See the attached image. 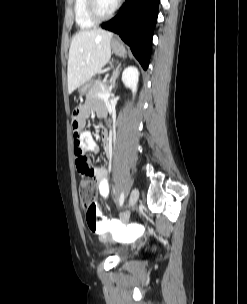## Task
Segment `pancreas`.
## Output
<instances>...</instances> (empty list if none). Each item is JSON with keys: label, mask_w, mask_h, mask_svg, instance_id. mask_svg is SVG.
<instances>
[{"label": "pancreas", "mask_w": 247, "mask_h": 304, "mask_svg": "<svg viewBox=\"0 0 247 304\" xmlns=\"http://www.w3.org/2000/svg\"><path fill=\"white\" fill-rule=\"evenodd\" d=\"M82 91L86 94L88 99L98 98L97 93H107L109 91V87L105 81L97 80L92 84L86 85Z\"/></svg>", "instance_id": "cf45deb5"}]
</instances>
